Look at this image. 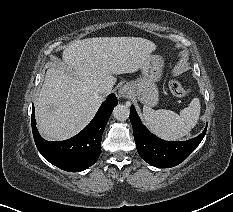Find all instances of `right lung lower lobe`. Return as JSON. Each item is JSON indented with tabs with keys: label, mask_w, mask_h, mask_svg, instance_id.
<instances>
[{
	"label": "right lung lower lobe",
	"mask_w": 233,
	"mask_h": 212,
	"mask_svg": "<svg viewBox=\"0 0 233 212\" xmlns=\"http://www.w3.org/2000/svg\"><path fill=\"white\" fill-rule=\"evenodd\" d=\"M116 105V96L110 94L93 120L80 133L65 141H46L40 136L33 106L32 132L39 152L51 164L65 171L79 172L92 166L101 154V136Z\"/></svg>",
	"instance_id": "right-lung-lower-lobe-1"
}]
</instances>
